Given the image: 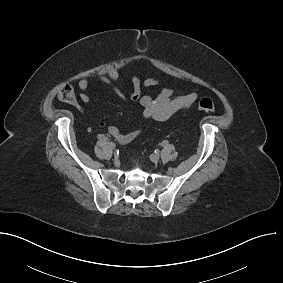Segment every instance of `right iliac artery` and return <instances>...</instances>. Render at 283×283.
<instances>
[{"instance_id": "82829eb1", "label": "right iliac artery", "mask_w": 283, "mask_h": 283, "mask_svg": "<svg viewBox=\"0 0 283 283\" xmlns=\"http://www.w3.org/2000/svg\"><path fill=\"white\" fill-rule=\"evenodd\" d=\"M100 139H102V140H108V138H106L105 136H103V135H99L98 136Z\"/></svg>"}]
</instances>
